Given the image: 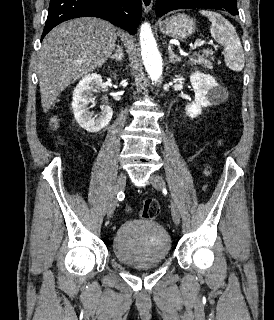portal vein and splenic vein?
<instances>
[{
    "label": "portal vein and splenic vein",
    "instance_id": "obj_1",
    "mask_svg": "<svg viewBox=\"0 0 274 320\" xmlns=\"http://www.w3.org/2000/svg\"><path fill=\"white\" fill-rule=\"evenodd\" d=\"M201 46H202V44H201ZM182 56H185V52H183Z\"/></svg>",
    "mask_w": 274,
    "mask_h": 320
}]
</instances>
